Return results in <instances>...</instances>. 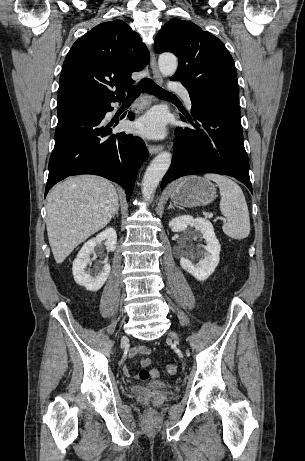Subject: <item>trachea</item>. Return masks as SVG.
Masks as SVG:
<instances>
[{
	"label": "trachea",
	"mask_w": 305,
	"mask_h": 461,
	"mask_svg": "<svg viewBox=\"0 0 305 461\" xmlns=\"http://www.w3.org/2000/svg\"><path fill=\"white\" fill-rule=\"evenodd\" d=\"M146 89L147 92L160 97H176L174 94L168 92L167 90L161 88L156 83H154L151 79L144 78L140 81L137 87L131 88L128 90L126 99H135L140 95L142 90Z\"/></svg>",
	"instance_id": "obj_1"
}]
</instances>
